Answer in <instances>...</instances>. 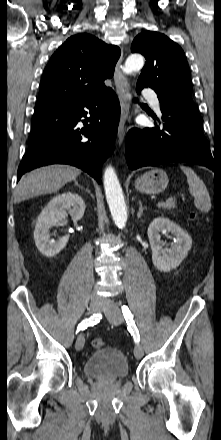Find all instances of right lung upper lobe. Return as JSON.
Segmentation results:
<instances>
[{
  "mask_svg": "<svg viewBox=\"0 0 221 440\" xmlns=\"http://www.w3.org/2000/svg\"><path fill=\"white\" fill-rule=\"evenodd\" d=\"M120 49L93 35L68 38L52 55L42 79L35 107L82 97L97 96L109 88Z\"/></svg>",
  "mask_w": 221,
  "mask_h": 440,
  "instance_id": "right-lung-upper-lobe-1",
  "label": "right lung upper lobe"
}]
</instances>
